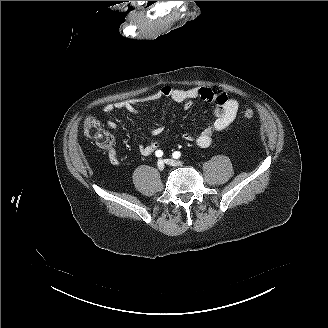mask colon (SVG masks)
<instances>
[{
    "label": "colon",
    "instance_id": "colon-1",
    "mask_svg": "<svg viewBox=\"0 0 328 328\" xmlns=\"http://www.w3.org/2000/svg\"><path fill=\"white\" fill-rule=\"evenodd\" d=\"M246 119H251L254 116V111L247 108L244 113ZM84 135L91 140H94L98 147L107 149L112 145V137L106 133L98 120L94 117H88L84 122Z\"/></svg>",
    "mask_w": 328,
    "mask_h": 328
}]
</instances>
